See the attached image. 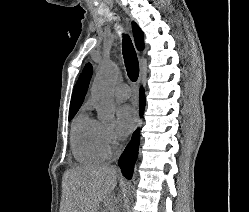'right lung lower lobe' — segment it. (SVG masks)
Wrapping results in <instances>:
<instances>
[{
	"label": "right lung lower lobe",
	"mask_w": 249,
	"mask_h": 212,
	"mask_svg": "<svg viewBox=\"0 0 249 212\" xmlns=\"http://www.w3.org/2000/svg\"><path fill=\"white\" fill-rule=\"evenodd\" d=\"M145 106V97H144V91L141 89L140 91V115L143 114ZM139 141H140V135L138 130H136L131 138V141L125 148L123 154L121 155L119 159V166L121 168V171L123 175L127 179H131L132 174H133V168L135 161L137 159L138 155V147H139Z\"/></svg>",
	"instance_id": "1"
}]
</instances>
